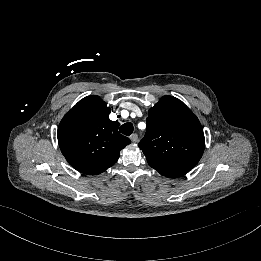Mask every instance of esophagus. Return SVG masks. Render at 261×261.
<instances>
[{
    "label": "esophagus",
    "mask_w": 261,
    "mask_h": 261,
    "mask_svg": "<svg viewBox=\"0 0 261 261\" xmlns=\"http://www.w3.org/2000/svg\"><path fill=\"white\" fill-rule=\"evenodd\" d=\"M130 139L133 143H136L138 141V135L134 133L130 136Z\"/></svg>",
    "instance_id": "1"
}]
</instances>
